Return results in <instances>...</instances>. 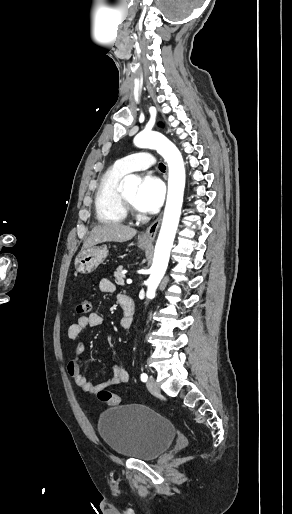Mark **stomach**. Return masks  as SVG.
I'll list each match as a JSON object with an SVG mask.
<instances>
[{"instance_id": "stomach-1", "label": "stomach", "mask_w": 292, "mask_h": 514, "mask_svg": "<svg viewBox=\"0 0 292 514\" xmlns=\"http://www.w3.org/2000/svg\"><path fill=\"white\" fill-rule=\"evenodd\" d=\"M151 242H138L139 248H146V246H150ZM108 256L107 248H103V246H92V248H83L81 252H79L76 260H75V268L77 272H81V274H91L94 272L96 268H98L99 264H102L104 260H106Z\"/></svg>"}]
</instances>
